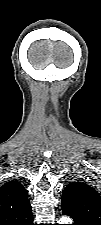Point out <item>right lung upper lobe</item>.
Masks as SVG:
<instances>
[{"instance_id":"1","label":"right lung upper lobe","mask_w":101,"mask_h":225,"mask_svg":"<svg viewBox=\"0 0 101 225\" xmlns=\"http://www.w3.org/2000/svg\"><path fill=\"white\" fill-rule=\"evenodd\" d=\"M0 225H34L28 192L18 181L0 187Z\"/></svg>"}]
</instances>
